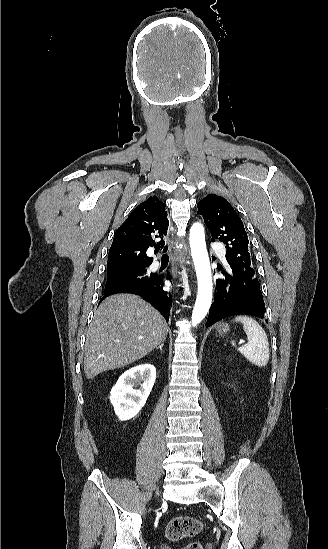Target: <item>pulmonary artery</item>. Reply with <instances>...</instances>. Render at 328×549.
<instances>
[{
  "instance_id": "1",
  "label": "pulmonary artery",
  "mask_w": 328,
  "mask_h": 549,
  "mask_svg": "<svg viewBox=\"0 0 328 549\" xmlns=\"http://www.w3.org/2000/svg\"><path fill=\"white\" fill-rule=\"evenodd\" d=\"M158 265V261L154 260L151 264L152 267H156Z\"/></svg>"
}]
</instances>
